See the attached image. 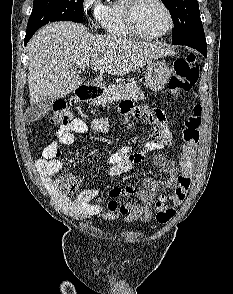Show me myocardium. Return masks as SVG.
<instances>
[{
  "label": "myocardium",
  "instance_id": "1",
  "mask_svg": "<svg viewBox=\"0 0 233 294\" xmlns=\"http://www.w3.org/2000/svg\"><path fill=\"white\" fill-rule=\"evenodd\" d=\"M155 1L161 5V7L164 9V11L167 14L168 27L166 28V30H164L161 33L148 34L140 28L137 21V8L139 4L142 2V0H127L126 6H125L126 21H127L128 27L136 36L144 38V39H159L168 35L173 30L174 18H173L171 9L169 8V6L166 4L164 0H155Z\"/></svg>",
  "mask_w": 233,
  "mask_h": 294
}]
</instances>
